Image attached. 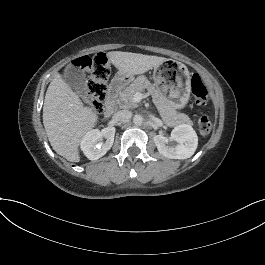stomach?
Listing matches in <instances>:
<instances>
[{
	"instance_id": "0dacf381",
	"label": "stomach",
	"mask_w": 265,
	"mask_h": 265,
	"mask_svg": "<svg viewBox=\"0 0 265 265\" xmlns=\"http://www.w3.org/2000/svg\"><path fill=\"white\" fill-rule=\"evenodd\" d=\"M119 76L126 78L119 73ZM153 79L155 88L169 99L176 109L184 108L190 98L191 74L181 62L167 59L154 67Z\"/></svg>"
}]
</instances>
